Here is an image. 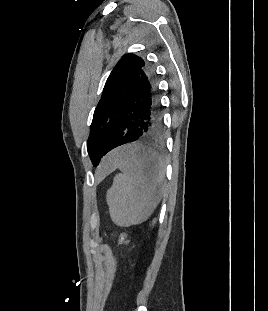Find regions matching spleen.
<instances>
[{
  "instance_id": "obj_1",
  "label": "spleen",
  "mask_w": 268,
  "mask_h": 311,
  "mask_svg": "<svg viewBox=\"0 0 268 311\" xmlns=\"http://www.w3.org/2000/svg\"><path fill=\"white\" fill-rule=\"evenodd\" d=\"M121 173L114 177L106 194L112 221L129 227L146 221L165 188V165L154 148L145 144H121L109 160Z\"/></svg>"
}]
</instances>
